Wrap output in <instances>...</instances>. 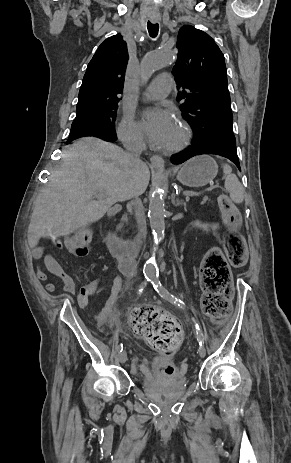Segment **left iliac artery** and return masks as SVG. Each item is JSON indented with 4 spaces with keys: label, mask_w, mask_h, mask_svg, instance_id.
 I'll use <instances>...</instances> for the list:
<instances>
[{
    "label": "left iliac artery",
    "mask_w": 291,
    "mask_h": 463,
    "mask_svg": "<svg viewBox=\"0 0 291 463\" xmlns=\"http://www.w3.org/2000/svg\"><path fill=\"white\" fill-rule=\"evenodd\" d=\"M151 283L154 287V289L157 291V293L164 299L168 300L169 302H171L172 304H175L181 308H183L185 306V303L183 302V300H181L180 298L174 296L173 294H171L166 288H164L161 284V282L159 281L158 277H152L151 278ZM195 327H196V332H197V340L200 344V346H202L204 344V336H203V333L202 331L200 330L199 328V325L198 324H195Z\"/></svg>",
    "instance_id": "1"
}]
</instances>
